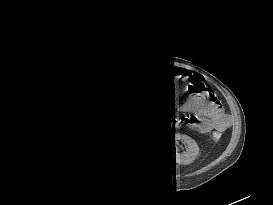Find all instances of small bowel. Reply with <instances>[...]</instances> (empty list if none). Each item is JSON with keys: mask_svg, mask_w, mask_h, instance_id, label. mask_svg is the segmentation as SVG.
<instances>
[{"mask_svg": "<svg viewBox=\"0 0 273 205\" xmlns=\"http://www.w3.org/2000/svg\"><path fill=\"white\" fill-rule=\"evenodd\" d=\"M186 109L197 116L206 117L201 121L196 118L195 126L200 129H206L212 123L222 127L227 121V115L223 112L220 102L215 99H191L186 104Z\"/></svg>", "mask_w": 273, "mask_h": 205, "instance_id": "c3829d8e", "label": "small bowel"}]
</instances>
